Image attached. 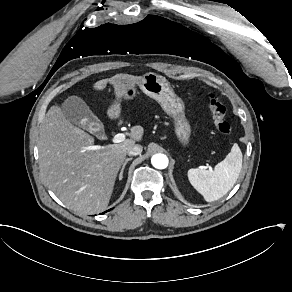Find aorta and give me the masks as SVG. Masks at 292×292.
Here are the masks:
<instances>
[{
	"instance_id": "1",
	"label": "aorta",
	"mask_w": 292,
	"mask_h": 292,
	"mask_svg": "<svg viewBox=\"0 0 292 292\" xmlns=\"http://www.w3.org/2000/svg\"><path fill=\"white\" fill-rule=\"evenodd\" d=\"M168 158L164 154H155L151 158L152 165L157 169H165L168 166Z\"/></svg>"
}]
</instances>
